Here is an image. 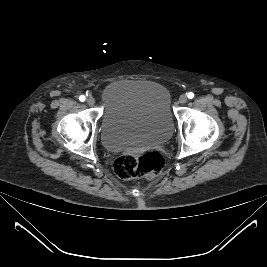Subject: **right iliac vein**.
<instances>
[{
	"label": "right iliac vein",
	"mask_w": 267,
	"mask_h": 267,
	"mask_svg": "<svg viewBox=\"0 0 267 267\" xmlns=\"http://www.w3.org/2000/svg\"><path fill=\"white\" fill-rule=\"evenodd\" d=\"M86 102L89 106H93L95 104V99L93 97H88Z\"/></svg>",
	"instance_id": "1"
}]
</instances>
